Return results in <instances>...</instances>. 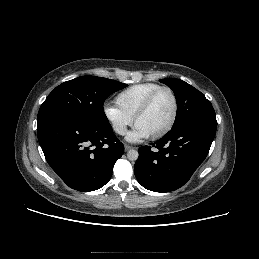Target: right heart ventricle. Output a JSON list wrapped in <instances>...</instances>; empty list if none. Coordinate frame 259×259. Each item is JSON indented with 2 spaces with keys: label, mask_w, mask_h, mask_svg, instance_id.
I'll return each instance as SVG.
<instances>
[{
  "label": "right heart ventricle",
  "mask_w": 259,
  "mask_h": 259,
  "mask_svg": "<svg viewBox=\"0 0 259 259\" xmlns=\"http://www.w3.org/2000/svg\"><path fill=\"white\" fill-rule=\"evenodd\" d=\"M158 87L159 84L152 82L132 85L117 94L115 103L122 112L133 119L147 96Z\"/></svg>",
  "instance_id": "e07e8e85"
}]
</instances>
